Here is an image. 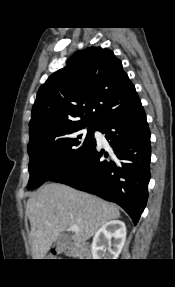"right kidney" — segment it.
I'll list each match as a JSON object with an SVG mask.
<instances>
[{
    "label": "right kidney",
    "mask_w": 175,
    "mask_h": 287,
    "mask_svg": "<svg viewBox=\"0 0 175 287\" xmlns=\"http://www.w3.org/2000/svg\"><path fill=\"white\" fill-rule=\"evenodd\" d=\"M126 240V227L120 220L105 223L94 235L93 259H117Z\"/></svg>",
    "instance_id": "right-kidney-1"
}]
</instances>
